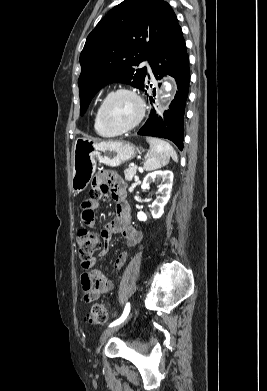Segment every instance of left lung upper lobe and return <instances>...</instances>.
<instances>
[{
	"instance_id": "5c2ea615",
	"label": "left lung upper lobe",
	"mask_w": 267,
	"mask_h": 391,
	"mask_svg": "<svg viewBox=\"0 0 267 391\" xmlns=\"http://www.w3.org/2000/svg\"><path fill=\"white\" fill-rule=\"evenodd\" d=\"M178 26L175 13L164 0H125L110 10L88 35L80 55L81 115L109 83L142 89L147 68L136 66L150 60Z\"/></svg>"
}]
</instances>
